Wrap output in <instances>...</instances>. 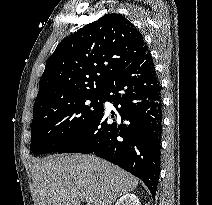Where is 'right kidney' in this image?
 <instances>
[{
  "mask_svg": "<svg viewBox=\"0 0 212 205\" xmlns=\"http://www.w3.org/2000/svg\"><path fill=\"white\" fill-rule=\"evenodd\" d=\"M115 205H140V202L136 195L126 193L119 198Z\"/></svg>",
  "mask_w": 212,
  "mask_h": 205,
  "instance_id": "1",
  "label": "right kidney"
}]
</instances>
